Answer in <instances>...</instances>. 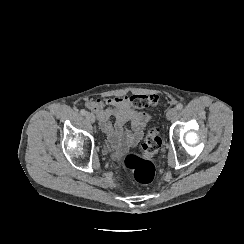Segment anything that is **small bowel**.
<instances>
[{
  "label": "small bowel",
  "instance_id": "obj_1",
  "mask_svg": "<svg viewBox=\"0 0 244 244\" xmlns=\"http://www.w3.org/2000/svg\"><path fill=\"white\" fill-rule=\"evenodd\" d=\"M86 108L95 115L111 146L118 150L117 156L140 142L151 119L149 114L135 110L128 96L90 100Z\"/></svg>",
  "mask_w": 244,
  "mask_h": 244
}]
</instances>
